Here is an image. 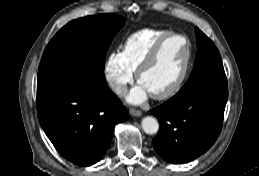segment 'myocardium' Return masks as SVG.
Here are the masks:
<instances>
[{"mask_svg":"<svg viewBox=\"0 0 259 176\" xmlns=\"http://www.w3.org/2000/svg\"><path fill=\"white\" fill-rule=\"evenodd\" d=\"M172 37H180L185 40L186 42L185 61H184V65L181 73L167 89L158 93L150 94L152 98L157 100L167 99L175 95L178 92V90L181 88L184 80L186 79L188 72L190 70L191 61H192V43L190 39L185 34H182L179 32H169L163 35L155 42V44L153 45V47L151 48L147 56L144 58V60L141 62L138 69L136 70V79L140 83V78L142 74L155 62L163 45L166 43L168 39Z\"/></svg>","mask_w":259,"mask_h":176,"instance_id":"myocardium-1","label":"myocardium"}]
</instances>
